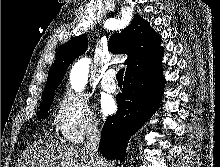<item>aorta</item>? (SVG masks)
Instances as JSON below:
<instances>
[{
    "mask_svg": "<svg viewBox=\"0 0 220 167\" xmlns=\"http://www.w3.org/2000/svg\"><path fill=\"white\" fill-rule=\"evenodd\" d=\"M90 60L87 58L78 61L71 70L70 82L72 88L81 91L87 83Z\"/></svg>",
    "mask_w": 220,
    "mask_h": 167,
    "instance_id": "aorta-1",
    "label": "aorta"
}]
</instances>
